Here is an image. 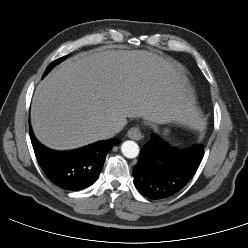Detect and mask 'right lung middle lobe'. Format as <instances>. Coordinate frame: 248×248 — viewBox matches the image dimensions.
<instances>
[{
	"label": "right lung middle lobe",
	"instance_id": "right-lung-middle-lobe-1",
	"mask_svg": "<svg viewBox=\"0 0 248 248\" xmlns=\"http://www.w3.org/2000/svg\"><path fill=\"white\" fill-rule=\"evenodd\" d=\"M67 56H68V55H67ZM67 56H64V57H62V58H60V59H57V60H55L54 62H52V63L47 67V69H46L45 73L43 74V76H45L55 64L61 62V61L64 60Z\"/></svg>",
	"mask_w": 248,
	"mask_h": 248
}]
</instances>
